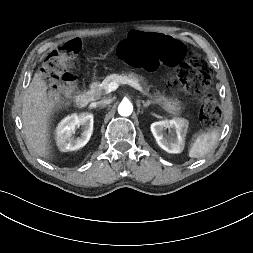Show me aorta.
<instances>
[{
    "label": "aorta",
    "instance_id": "aorta-1",
    "mask_svg": "<svg viewBox=\"0 0 253 253\" xmlns=\"http://www.w3.org/2000/svg\"><path fill=\"white\" fill-rule=\"evenodd\" d=\"M133 111V105L130 101L124 100L118 106V113L121 116H130Z\"/></svg>",
    "mask_w": 253,
    "mask_h": 253
}]
</instances>
